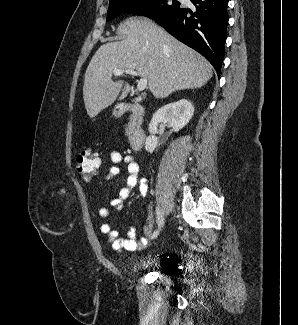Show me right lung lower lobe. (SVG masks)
<instances>
[{
	"mask_svg": "<svg viewBox=\"0 0 298 325\" xmlns=\"http://www.w3.org/2000/svg\"><path fill=\"white\" fill-rule=\"evenodd\" d=\"M189 8H173L153 19L179 41L202 54L220 74L227 38L228 0H190Z\"/></svg>",
	"mask_w": 298,
	"mask_h": 325,
	"instance_id": "right-lung-lower-lobe-1",
	"label": "right lung lower lobe"
}]
</instances>
